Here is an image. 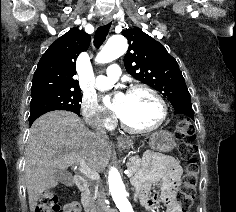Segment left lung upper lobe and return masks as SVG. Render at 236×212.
Returning <instances> with one entry per match:
<instances>
[{
	"instance_id": "1",
	"label": "left lung upper lobe",
	"mask_w": 236,
	"mask_h": 212,
	"mask_svg": "<svg viewBox=\"0 0 236 212\" xmlns=\"http://www.w3.org/2000/svg\"><path fill=\"white\" fill-rule=\"evenodd\" d=\"M122 35L129 43L124 65L130 75L159 91L172 105L190 100L176 59L161 43L137 28L126 29Z\"/></svg>"
}]
</instances>
